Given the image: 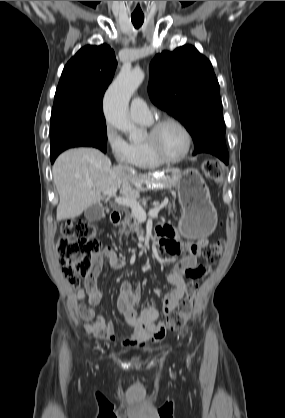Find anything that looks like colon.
I'll use <instances>...</instances> for the list:
<instances>
[{
	"instance_id": "1",
	"label": "colon",
	"mask_w": 285,
	"mask_h": 418,
	"mask_svg": "<svg viewBox=\"0 0 285 418\" xmlns=\"http://www.w3.org/2000/svg\"><path fill=\"white\" fill-rule=\"evenodd\" d=\"M204 172L215 182L223 178L222 168L213 160L205 163ZM224 246L223 239L209 243L203 250L204 258L209 262L218 260L223 254ZM56 247L63 273L70 284L75 287L81 286L91 272L89 258L100 250V244L95 239V228L81 219L67 221L61 227ZM196 292L197 278H193L188 284L187 294L178 310L168 314L165 325H157L160 333L178 331L186 324L193 311Z\"/></svg>"
}]
</instances>
